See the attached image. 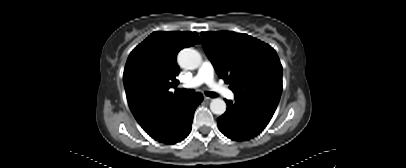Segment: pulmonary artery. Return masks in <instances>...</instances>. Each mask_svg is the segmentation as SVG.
<instances>
[{
	"label": "pulmonary artery",
	"mask_w": 406,
	"mask_h": 168,
	"mask_svg": "<svg viewBox=\"0 0 406 168\" xmlns=\"http://www.w3.org/2000/svg\"><path fill=\"white\" fill-rule=\"evenodd\" d=\"M203 83H206L214 92H216L226 98H229V99L234 98V94L228 88H226L224 85L215 81L213 66L207 60L202 62L196 75L190 81L183 84V87L195 88V87L200 86Z\"/></svg>",
	"instance_id": "1"
}]
</instances>
